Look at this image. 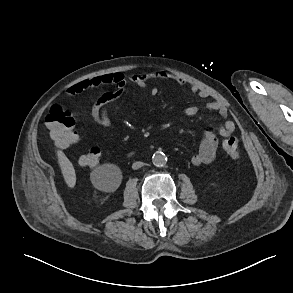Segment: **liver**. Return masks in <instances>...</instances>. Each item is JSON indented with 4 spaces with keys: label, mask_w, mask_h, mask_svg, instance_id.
Masks as SVG:
<instances>
[{
    "label": "liver",
    "mask_w": 293,
    "mask_h": 293,
    "mask_svg": "<svg viewBox=\"0 0 293 293\" xmlns=\"http://www.w3.org/2000/svg\"><path fill=\"white\" fill-rule=\"evenodd\" d=\"M58 163L61 168V172L63 174L64 180L66 184L73 188L76 184V174L75 169L70 162V160L66 157V155L62 151L57 152Z\"/></svg>",
    "instance_id": "6515ba94"
}]
</instances>
